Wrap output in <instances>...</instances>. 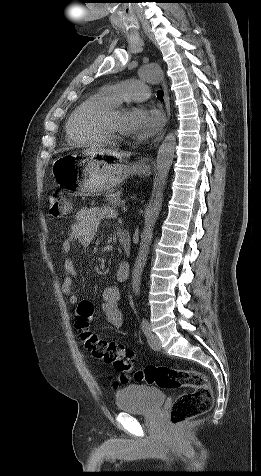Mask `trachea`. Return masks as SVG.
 Masks as SVG:
<instances>
[{"label": "trachea", "instance_id": "obj_1", "mask_svg": "<svg viewBox=\"0 0 261 476\" xmlns=\"http://www.w3.org/2000/svg\"><path fill=\"white\" fill-rule=\"evenodd\" d=\"M163 96H164L163 91H158V92H157V98H158L159 100H163Z\"/></svg>", "mask_w": 261, "mask_h": 476}]
</instances>
